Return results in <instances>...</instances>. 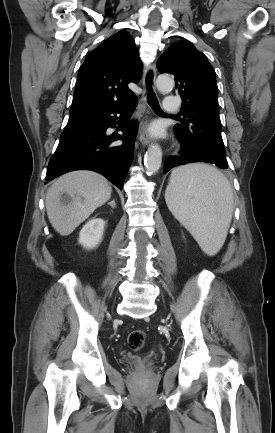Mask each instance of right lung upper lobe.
Returning a JSON list of instances; mask_svg holds the SVG:
<instances>
[{
	"label": "right lung upper lobe",
	"mask_w": 275,
	"mask_h": 433,
	"mask_svg": "<svg viewBox=\"0 0 275 433\" xmlns=\"http://www.w3.org/2000/svg\"><path fill=\"white\" fill-rule=\"evenodd\" d=\"M142 62L129 32L121 30L89 53L82 64L69 119L98 108L127 104L134 99L129 82L141 78Z\"/></svg>",
	"instance_id": "1"
}]
</instances>
